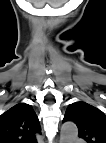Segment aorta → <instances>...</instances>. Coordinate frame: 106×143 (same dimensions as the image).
Segmentation results:
<instances>
[{"mask_svg":"<svg viewBox=\"0 0 106 143\" xmlns=\"http://www.w3.org/2000/svg\"><path fill=\"white\" fill-rule=\"evenodd\" d=\"M78 137L77 126L73 122H66L61 127L60 142L75 143Z\"/></svg>","mask_w":106,"mask_h":143,"instance_id":"obj_1","label":"aorta"}]
</instances>
